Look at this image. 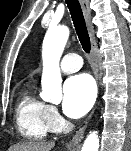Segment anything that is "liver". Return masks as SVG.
<instances>
[{
	"label": "liver",
	"mask_w": 131,
	"mask_h": 151,
	"mask_svg": "<svg viewBox=\"0 0 131 151\" xmlns=\"http://www.w3.org/2000/svg\"><path fill=\"white\" fill-rule=\"evenodd\" d=\"M54 145L53 142H29L15 145L9 151H50Z\"/></svg>",
	"instance_id": "liver-1"
}]
</instances>
